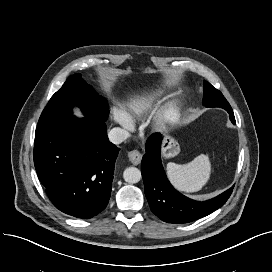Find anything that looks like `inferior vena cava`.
I'll use <instances>...</instances> for the list:
<instances>
[{"label": "inferior vena cava", "mask_w": 272, "mask_h": 272, "mask_svg": "<svg viewBox=\"0 0 272 272\" xmlns=\"http://www.w3.org/2000/svg\"><path fill=\"white\" fill-rule=\"evenodd\" d=\"M108 137L113 144H120L129 137V134L126 130L116 127L109 131Z\"/></svg>", "instance_id": "1"}]
</instances>
